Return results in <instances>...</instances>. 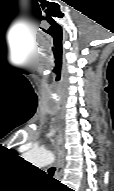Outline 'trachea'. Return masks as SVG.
<instances>
[{"instance_id": "obj_1", "label": "trachea", "mask_w": 114, "mask_h": 191, "mask_svg": "<svg viewBox=\"0 0 114 191\" xmlns=\"http://www.w3.org/2000/svg\"><path fill=\"white\" fill-rule=\"evenodd\" d=\"M54 171H55V168L54 167H51L48 172L50 175H53L54 174Z\"/></svg>"}]
</instances>
